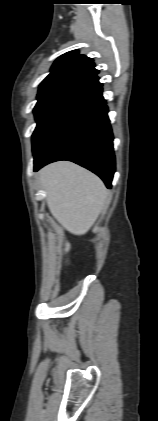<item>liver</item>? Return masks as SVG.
<instances>
[{"instance_id": "obj_1", "label": "liver", "mask_w": 158, "mask_h": 421, "mask_svg": "<svg viewBox=\"0 0 158 421\" xmlns=\"http://www.w3.org/2000/svg\"><path fill=\"white\" fill-rule=\"evenodd\" d=\"M39 177L53 217L74 235L87 233L108 203L109 193L100 178L66 161L44 167ZM69 248L66 243L65 251Z\"/></svg>"}]
</instances>
